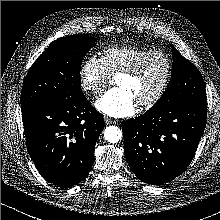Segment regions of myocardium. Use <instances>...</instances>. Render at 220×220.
<instances>
[{
    "mask_svg": "<svg viewBox=\"0 0 220 220\" xmlns=\"http://www.w3.org/2000/svg\"><path fill=\"white\" fill-rule=\"evenodd\" d=\"M153 57L161 58L164 61L166 66L165 76L160 87L153 94V96L138 104V106L142 109H148L153 107L161 100V98L165 94L172 77V62L169 56L160 51L148 52L145 55L141 56L139 59H137L130 67H128L127 69L123 70L118 74V77L120 76L134 77L141 71L145 63Z\"/></svg>",
    "mask_w": 220,
    "mask_h": 220,
    "instance_id": "f54148a6",
    "label": "myocardium"
}]
</instances>
